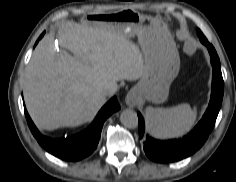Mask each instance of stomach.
<instances>
[{"mask_svg":"<svg viewBox=\"0 0 236 182\" xmlns=\"http://www.w3.org/2000/svg\"><path fill=\"white\" fill-rule=\"evenodd\" d=\"M88 21L93 26H103L116 36L122 33L127 38L138 36L145 48V70L131 92L139 101L163 103L180 68L179 53L167 25L156 17L143 15L132 9L111 15L93 13Z\"/></svg>","mask_w":236,"mask_h":182,"instance_id":"0dacf381","label":"stomach"}]
</instances>
